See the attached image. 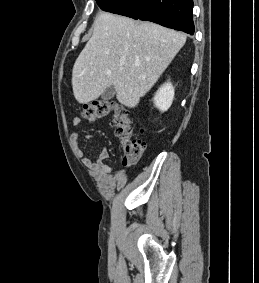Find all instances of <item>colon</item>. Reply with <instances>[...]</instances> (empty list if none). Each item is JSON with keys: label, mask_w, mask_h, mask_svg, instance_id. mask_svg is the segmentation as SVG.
<instances>
[{"label": "colon", "mask_w": 259, "mask_h": 283, "mask_svg": "<svg viewBox=\"0 0 259 283\" xmlns=\"http://www.w3.org/2000/svg\"><path fill=\"white\" fill-rule=\"evenodd\" d=\"M108 115H112V125L121 141L123 164L126 166L136 164L142 156L145 143L134 136L132 118L126 106L115 100L100 99L85 104L79 112L82 119L89 121Z\"/></svg>", "instance_id": "5ec220e1"}]
</instances>
